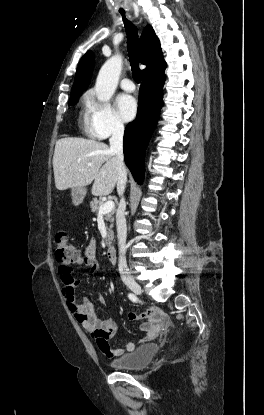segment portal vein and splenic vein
Listing matches in <instances>:
<instances>
[{"instance_id": "18ae733b", "label": "portal vein and splenic vein", "mask_w": 264, "mask_h": 415, "mask_svg": "<svg viewBox=\"0 0 264 415\" xmlns=\"http://www.w3.org/2000/svg\"><path fill=\"white\" fill-rule=\"evenodd\" d=\"M114 207L115 204L113 201H107L100 206L99 214H107L111 212L114 209Z\"/></svg>"}]
</instances>
